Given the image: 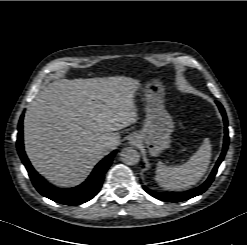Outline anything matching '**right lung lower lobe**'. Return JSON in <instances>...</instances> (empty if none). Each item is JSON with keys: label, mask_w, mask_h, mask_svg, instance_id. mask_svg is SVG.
I'll use <instances>...</instances> for the list:
<instances>
[{"label": "right lung lower lobe", "mask_w": 247, "mask_h": 245, "mask_svg": "<svg viewBox=\"0 0 247 245\" xmlns=\"http://www.w3.org/2000/svg\"><path fill=\"white\" fill-rule=\"evenodd\" d=\"M22 121H23V115H21L18 125V138H17L18 154L23 164L25 165L29 173L30 179L32 180V183L37 189V191L41 195L57 203H61L65 205L82 204L95 197L100 191L104 179V174L111 165L112 160L116 154V151L112 152L111 154L106 156L103 160H101L96 165V167L94 168L90 176L87 178V180L83 182L81 185L68 189L56 188L48 184L47 181L43 177H41L30 164L23 148Z\"/></svg>", "instance_id": "right-lung-lower-lobe-1"}]
</instances>
